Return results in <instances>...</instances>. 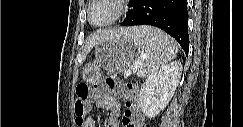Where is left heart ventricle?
<instances>
[{
  "instance_id": "obj_1",
  "label": "left heart ventricle",
  "mask_w": 243,
  "mask_h": 127,
  "mask_svg": "<svg viewBox=\"0 0 243 127\" xmlns=\"http://www.w3.org/2000/svg\"><path fill=\"white\" fill-rule=\"evenodd\" d=\"M115 13V8L104 1L96 2L90 11V18L95 23H101L112 17Z\"/></svg>"
}]
</instances>
